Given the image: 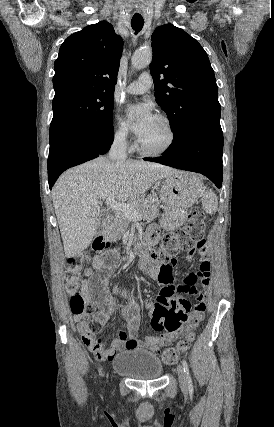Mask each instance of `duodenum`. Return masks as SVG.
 Wrapping results in <instances>:
<instances>
[{
	"instance_id": "obj_1",
	"label": "duodenum",
	"mask_w": 274,
	"mask_h": 427,
	"mask_svg": "<svg viewBox=\"0 0 274 427\" xmlns=\"http://www.w3.org/2000/svg\"><path fill=\"white\" fill-rule=\"evenodd\" d=\"M110 223V219L107 218L104 222V227L108 226ZM103 241V235L101 234L97 240L96 243L99 245ZM133 252L137 255H139L142 258V263L145 265H149L153 261H155L157 253L152 248L151 243L148 242V244H143L141 246H137L133 249Z\"/></svg>"
}]
</instances>
